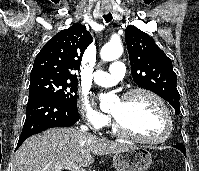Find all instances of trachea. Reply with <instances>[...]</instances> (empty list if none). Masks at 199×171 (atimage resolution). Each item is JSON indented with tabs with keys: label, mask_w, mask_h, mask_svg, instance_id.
Returning <instances> with one entry per match:
<instances>
[{
	"label": "trachea",
	"mask_w": 199,
	"mask_h": 171,
	"mask_svg": "<svg viewBox=\"0 0 199 171\" xmlns=\"http://www.w3.org/2000/svg\"><path fill=\"white\" fill-rule=\"evenodd\" d=\"M103 17H104V20L106 23L110 22L113 18L111 13H108V14L104 15Z\"/></svg>",
	"instance_id": "3493384b"
}]
</instances>
